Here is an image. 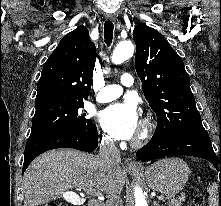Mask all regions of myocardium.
<instances>
[{
    "label": "myocardium",
    "instance_id": "f54148a6",
    "mask_svg": "<svg viewBox=\"0 0 221 206\" xmlns=\"http://www.w3.org/2000/svg\"><path fill=\"white\" fill-rule=\"evenodd\" d=\"M154 130V125L150 117H147L142 122V127L138 136L133 140L132 144L134 146L143 145L152 135Z\"/></svg>",
    "mask_w": 221,
    "mask_h": 206
}]
</instances>
